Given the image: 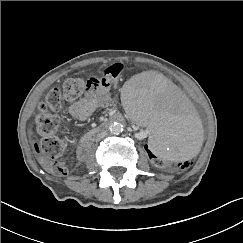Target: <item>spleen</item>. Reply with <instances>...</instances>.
Segmentation results:
<instances>
[{
	"instance_id": "obj_1",
	"label": "spleen",
	"mask_w": 243,
	"mask_h": 243,
	"mask_svg": "<svg viewBox=\"0 0 243 243\" xmlns=\"http://www.w3.org/2000/svg\"><path fill=\"white\" fill-rule=\"evenodd\" d=\"M122 102L130 117L151 126L148 140L158 156L177 162L197 153L200 131L192 106L172 81L139 75L125 87Z\"/></svg>"
}]
</instances>
